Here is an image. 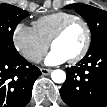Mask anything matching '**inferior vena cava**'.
Segmentation results:
<instances>
[{
  "label": "inferior vena cava",
  "mask_w": 107,
  "mask_h": 107,
  "mask_svg": "<svg viewBox=\"0 0 107 107\" xmlns=\"http://www.w3.org/2000/svg\"><path fill=\"white\" fill-rule=\"evenodd\" d=\"M30 60L34 63H39L42 61V56L40 55H34L30 58Z\"/></svg>",
  "instance_id": "obj_1"
}]
</instances>
